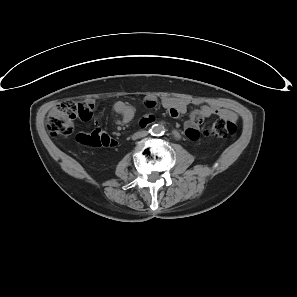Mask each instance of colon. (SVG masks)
<instances>
[{
	"label": "colon",
	"instance_id": "1",
	"mask_svg": "<svg viewBox=\"0 0 297 297\" xmlns=\"http://www.w3.org/2000/svg\"><path fill=\"white\" fill-rule=\"evenodd\" d=\"M95 106L88 102L66 101L56 105L48 114L46 128L53 135H70L74 130L75 120L89 122L94 114ZM237 131L233 118L221 116L208 129L207 135L214 138L226 139ZM77 140L84 145L93 147H113L115 141L100 129L91 133H81Z\"/></svg>",
	"mask_w": 297,
	"mask_h": 297
}]
</instances>
